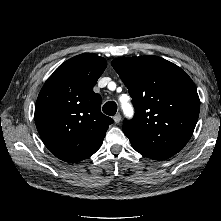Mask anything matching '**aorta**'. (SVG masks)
Instances as JSON below:
<instances>
[{"label":"aorta","instance_id":"obj_1","mask_svg":"<svg viewBox=\"0 0 221 221\" xmlns=\"http://www.w3.org/2000/svg\"><path fill=\"white\" fill-rule=\"evenodd\" d=\"M129 109H131V107L128 106V105H126V106L123 107V110H124L125 112L128 111Z\"/></svg>","mask_w":221,"mask_h":221}]
</instances>
